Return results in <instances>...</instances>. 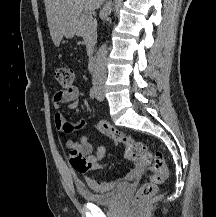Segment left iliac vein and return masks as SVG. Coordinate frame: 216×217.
<instances>
[{"label":"left iliac vein","mask_w":216,"mask_h":217,"mask_svg":"<svg viewBox=\"0 0 216 217\" xmlns=\"http://www.w3.org/2000/svg\"><path fill=\"white\" fill-rule=\"evenodd\" d=\"M102 98H103V96H102L101 94H98V96H97V100L101 101Z\"/></svg>","instance_id":"1"}]
</instances>
